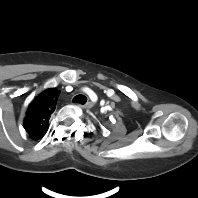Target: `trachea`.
<instances>
[{"instance_id": "1", "label": "trachea", "mask_w": 198, "mask_h": 198, "mask_svg": "<svg viewBox=\"0 0 198 198\" xmlns=\"http://www.w3.org/2000/svg\"><path fill=\"white\" fill-rule=\"evenodd\" d=\"M73 102H76V103H80V104H85L87 102V98L86 96L84 95H76L74 98H73Z\"/></svg>"}]
</instances>
